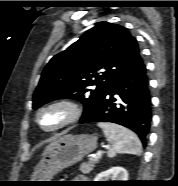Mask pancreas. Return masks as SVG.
<instances>
[{"mask_svg":"<svg viewBox=\"0 0 178 186\" xmlns=\"http://www.w3.org/2000/svg\"><path fill=\"white\" fill-rule=\"evenodd\" d=\"M100 157L90 160L88 163H82L80 165V171L83 174H89L95 167V165L99 162Z\"/></svg>","mask_w":178,"mask_h":186,"instance_id":"pancreas-1","label":"pancreas"}]
</instances>
